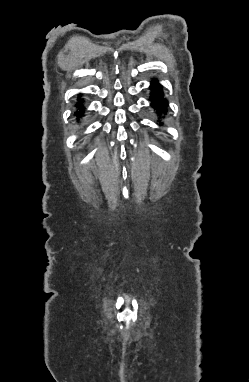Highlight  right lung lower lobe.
<instances>
[{"instance_id": "98d812e1", "label": "right lung lower lobe", "mask_w": 249, "mask_h": 382, "mask_svg": "<svg viewBox=\"0 0 249 382\" xmlns=\"http://www.w3.org/2000/svg\"><path fill=\"white\" fill-rule=\"evenodd\" d=\"M76 108L78 109V111L75 113V116L81 117L84 113L83 111L84 107L82 106V101L77 102Z\"/></svg>"}]
</instances>
